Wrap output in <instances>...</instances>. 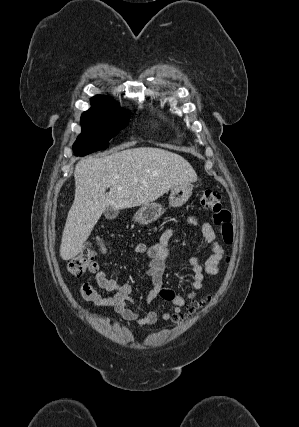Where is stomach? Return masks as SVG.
Segmentation results:
<instances>
[{
    "mask_svg": "<svg viewBox=\"0 0 299 427\" xmlns=\"http://www.w3.org/2000/svg\"><path fill=\"white\" fill-rule=\"evenodd\" d=\"M193 186L190 183H184L173 187L169 195V207L178 208L183 206L192 194ZM165 212L164 208L158 204L151 202L144 204L134 215L135 221L140 224H149L159 219Z\"/></svg>",
    "mask_w": 299,
    "mask_h": 427,
    "instance_id": "obj_1",
    "label": "stomach"
}]
</instances>
